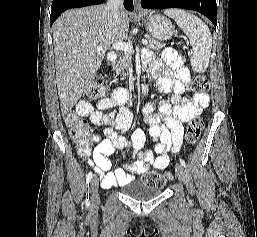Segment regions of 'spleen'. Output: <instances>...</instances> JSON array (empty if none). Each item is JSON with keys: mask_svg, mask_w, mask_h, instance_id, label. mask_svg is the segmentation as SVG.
<instances>
[{"mask_svg": "<svg viewBox=\"0 0 257 237\" xmlns=\"http://www.w3.org/2000/svg\"><path fill=\"white\" fill-rule=\"evenodd\" d=\"M165 15L173 18L190 40L193 52L192 69L204 73L209 65L212 48V37L208 26L198 17L179 9H169Z\"/></svg>", "mask_w": 257, "mask_h": 237, "instance_id": "spleen-1", "label": "spleen"}]
</instances>
